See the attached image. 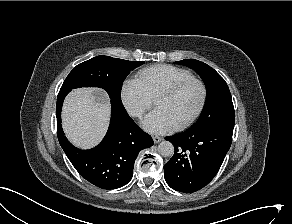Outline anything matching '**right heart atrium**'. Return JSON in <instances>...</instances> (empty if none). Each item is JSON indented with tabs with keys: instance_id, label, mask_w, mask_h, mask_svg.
Returning <instances> with one entry per match:
<instances>
[{
	"instance_id": "obj_1",
	"label": "right heart atrium",
	"mask_w": 292,
	"mask_h": 224,
	"mask_svg": "<svg viewBox=\"0 0 292 224\" xmlns=\"http://www.w3.org/2000/svg\"><path fill=\"white\" fill-rule=\"evenodd\" d=\"M121 100L127 112L135 118H141L153 105V99L137 79H130L123 83Z\"/></svg>"
}]
</instances>
